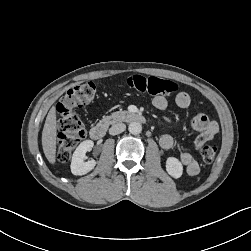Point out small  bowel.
Returning <instances> with one entry per match:
<instances>
[{
	"label": "small bowel",
	"mask_w": 251,
	"mask_h": 251,
	"mask_svg": "<svg viewBox=\"0 0 251 251\" xmlns=\"http://www.w3.org/2000/svg\"><path fill=\"white\" fill-rule=\"evenodd\" d=\"M175 102L178 107L187 108L191 103L190 95L181 91L176 95ZM152 104L158 110H165L168 106V101L164 96H156L153 98ZM191 127L199 133L195 140V148L197 150L201 149L207 141L212 140L218 132L217 123L201 113L195 114L191 118ZM159 142L163 149H171L174 145L172 136L168 134L161 136ZM179 158L188 175L195 176L199 173V163L193 154L183 151Z\"/></svg>",
	"instance_id": "1"
}]
</instances>
